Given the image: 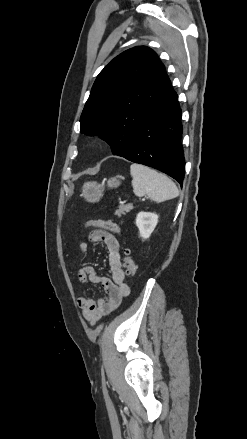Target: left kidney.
I'll list each match as a JSON object with an SVG mask.
<instances>
[{"label": "left kidney", "mask_w": 247, "mask_h": 439, "mask_svg": "<svg viewBox=\"0 0 247 439\" xmlns=\"http://www.w3.org/2000/svg\"><path fill=\"white\" fill-rule=\"evenodd\" d=\"M158 223V215L151 212H139L136 217V226L142 239H148Z\"/></svg>", "instance_id": "1"}]
</instances>
